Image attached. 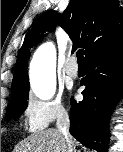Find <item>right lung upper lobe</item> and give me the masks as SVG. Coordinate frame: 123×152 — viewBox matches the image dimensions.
<instances>
[{
    "instance_id": "1",
    "label": "right lung upper lobe",
    "mask_w": 123,
    "mask_h": 152,
    "mask_svg": "<svg viewBox=\"0 0 123 152\" xmlns=\"http://www.w3.org/2000/svg\"><path fill=\"white\" fill-rule=\"evenodd\" d=\"M59 24L85 49V58L123 33V9L118 0H71L63 14L49 10L42 14L25 36L16 62L11 92L29 86L27 62L30 49L39 44Z\"/></svg>"
}]
</instances>
